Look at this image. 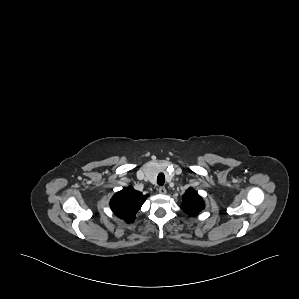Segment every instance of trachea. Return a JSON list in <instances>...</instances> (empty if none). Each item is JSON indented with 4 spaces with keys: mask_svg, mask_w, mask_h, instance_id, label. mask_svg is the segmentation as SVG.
<instances>
[{
    "mask_svg": "<svg viewBox=\"0 0 299 299\" xmlns=\"http://www.w3.org/2000/svg\"><path fill=\"white\" fill-rule=\"evenodd\" d=\"M157 183L162 186L165 183V176L163 173H159L157 177Z\"/></svg>",
    "mask_w": 299,
    "mask_h": 299,
    "instance_id": "trachea-1",
    "label": "trachea"
}]
</instances>
